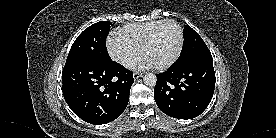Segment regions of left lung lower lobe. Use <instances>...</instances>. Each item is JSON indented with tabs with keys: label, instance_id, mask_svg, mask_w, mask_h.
Listing matches in <instances>:
<instances>
[{
	"label": "left lung lower lobe",
	"instance_id": "0a47b994",
	"mask_svg": "<svg viewBox=\"0 0 276 138\" xmlns=\"http://www.w3.org/2000/svg\"><path fill=\"white\" fill-rule=\"evenodd\" d=\"M154 99L159 109L177 119H191L209 105L215 86L213 59L204 57L192 63L171 66L157 74Z\"/></svg>",
	"mask_w": 276,
	"mask_h": 138
}]
</instances>
